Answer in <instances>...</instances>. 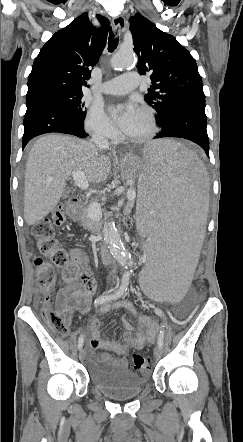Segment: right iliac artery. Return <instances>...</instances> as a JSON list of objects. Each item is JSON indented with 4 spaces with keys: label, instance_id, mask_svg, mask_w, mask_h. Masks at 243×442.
Here are the masks:
<instances>
[{
    "label": "right iliac artery",
    "instance_id": "right-iliac-artery-1",
    "mask_svg": "<svg viewBox=\"0 0 243 442\" xmlns=\"http://www.w3.org/2000/svg\"><path fill=\"white\" fill-rule=\"evenodd\" d=\"M129 275H130L129 273H126L124 275V277L122 279L121 286L119 287V289L117 291H115L112 294H105V295H101V296L97 297L94 302L95 306H98L103 303L110 302V301L117 300V299L121 298L127 290V287L129 284ZM83 343H84V336L81 335L78 339V348L79 349H81L83 347Z\"/></svg>",
    "mask_w": 243,
    "mask_h": 442
}]
</instances>
